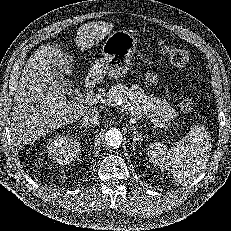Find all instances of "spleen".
<instances>
[{
  "label": "spleen",
  "instance_id": "spleen-1",
  "mask_svg": "<svg viewBox=\"0 0 231 231\" xmlns=\"http://www.w3.org/2000/svg\"><path fill=\"white\" fill-rule=\"evenodd\" d=\"M211 136L203 126L195 125L173 147L152 143L148 149L150 162L171 171L176 182L188 184L196 178L209 157Z\"/></svg>",
  "mask_w": 231,
  "mask_h": 231
}]
</instances>
